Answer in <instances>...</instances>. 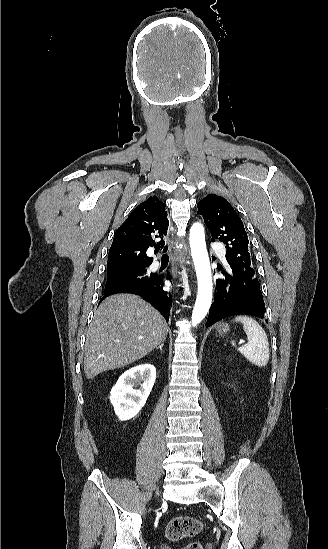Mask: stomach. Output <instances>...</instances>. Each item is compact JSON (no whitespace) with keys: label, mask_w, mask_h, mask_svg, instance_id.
<instances>
[{"label":"stomach","mask_w":328,"mask_h":549,"mask_svg":"<svg viewBox=\"0 0 328 549\" xmlns=\"http://www.w3.org/2000/svg\"><path fill=\"white\" fill-rule=\"evenodd\" d=\"M228 331H229V327L227 323H219L217 327V333H219V335H226Z\"/></svg>","instance_id":"obj_1"}]
</instances>
